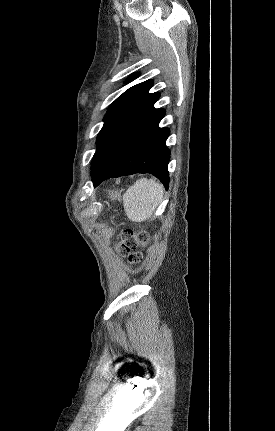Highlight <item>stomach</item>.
<instances>
[{
	"label": "stomach",
	"instance_id": "obj_1",
	"mask_svg": "<svg viewBox=\"0 0 275 431\" xmlns=\"http://www.w3.org/2000/svg\"><path fill=\"white\" fill-rule=\"evenodd\" d=\"M110 195H111V197H113V198H117V197H119V194H118L117 192H112Z\"/></svg>",
	"mask_w": 275,
	"mask_h": 431
}]
</instances>
